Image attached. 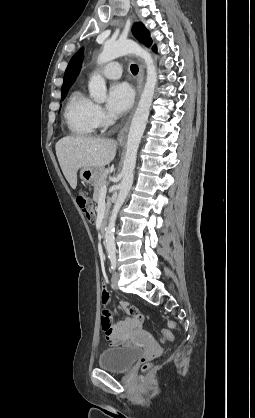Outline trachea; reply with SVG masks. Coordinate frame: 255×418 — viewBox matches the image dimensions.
<instances>
[{"label":"trachea","instance_id":"obj_1","mask_svg":"<svg viewBox=\"0 0 255 418\" xmlns=\"http://www.w3.org/2000/svg\"><path fill=\"white\" fill-rule=\"evenodd\" d=\"M130 69H131V72L133 74H137L138 73V66L136 64H131Z\"/></svg>","mask_w":255,"mask_h":418}]
</instances>
